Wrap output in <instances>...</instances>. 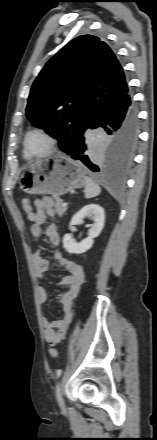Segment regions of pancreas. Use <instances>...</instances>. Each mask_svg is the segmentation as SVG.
<instances>
[{"mask_svg": "<svg viewBox=\"0 0 157 440\" xmlns=\"http://www.w3.org/2000/svg\"><path fill=\"white\" fill-rule=\"evenodd\" d=\"M54 199L56 201L54 204L55 211L59 217H62L64 215V213L66 212L67 207L63 206L62 200L59 197H54Z\"/></svg>", "mask_w": 157, "mask_h": 440, "instance_id": "pancreas-1", "label": "pancreas"}]
</instances>
